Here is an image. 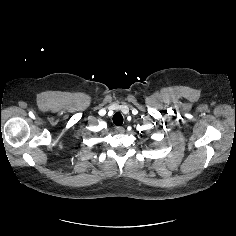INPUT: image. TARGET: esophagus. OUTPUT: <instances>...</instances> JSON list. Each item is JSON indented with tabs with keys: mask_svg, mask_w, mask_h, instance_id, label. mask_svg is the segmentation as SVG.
<instances>
[{
	"mask_svg": "<svg viewBox=\"0 0 236 236\" xmlns=\"http://www.w3.org/2000/svg\"><path fill=\"white\" fill-rule=\"evenodd\" d=\"M116 132H118V133H124V132H125V129H124L123 127H121V126H118V127H116Z\"/></svg>",
	"mask_w": 236,
	"mask_h": 236,
	"instance_id": "esophagus-1",
	"label": "esophagus"
}]
</instances>
